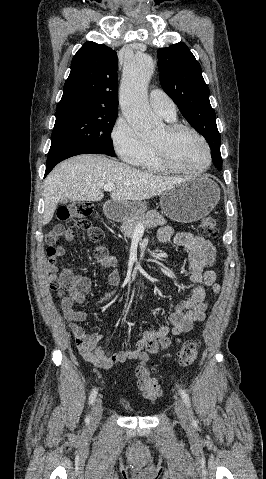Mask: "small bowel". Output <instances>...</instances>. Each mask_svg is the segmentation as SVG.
Listing matches in <instances>:
<instances>
[{"label": "small bowel", "instance_id": "obj_1", "mask_svg": "<svg viewBox=\"0 0 266 479\" xmlns=\"http://www.w3.org/2000/svg\"><path fill=\"white\" fill-rule=\"evenodd\" d=\"M59 236L72 242L75 234L70 230H61ZM158 239L164 244H173L181 247L188 253L190 281L193 284L191 294L187 299L180 301L169 314L171 326H162L144 331L135 345L127 350L110 353L98 346L104 333L87 332L80 324L88 319V313L76 309L75 305L83 303L91 291V281L88 277L75 274L72 269L64 268L51 282L52 288L57 291L59 305L65 321L69 324L75 344L82 357L89 363L102 369H109L127 360L137 359L147 344L164 339L167 335L180 336L190 332L194 325L204 321L209 302L206 298V287L215 293L220 290L216 273L213 270L216 250L213 244L202 236L191 232L175 233L170 226H163L158 231ZM94 261L103 270H111L116 266V258L106 253L104 248L97 247L94 251ZM109 285L116 287L121 283V274L118 270L111 271L107 276ZM117 291L104 294L98 307L110 301Z\"/></svg>", "mask_w": 266, "mask_h": 479}]
</instances>
